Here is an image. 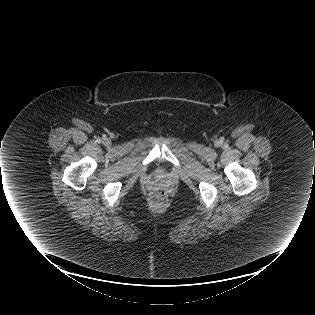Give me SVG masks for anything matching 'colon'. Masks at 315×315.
I'll use <instances>...</instances> for the list:
<instances>
[{
    "label": "colon",
    "instance_id": "colon-1",
    "mask_svg": "<svg viewBox=\"0 0 315 315\" xmlns=\"http://www.w3.org/2000/svg\"><path fill=\"white\" fill-rule=\"evenodd\" d=\"M150 202L154 207H161L167 201V193L161 187H154L150 191Z\"/></svg>",
    "mask_w": 315,
    "mask_h": 315
}]
</instances>
